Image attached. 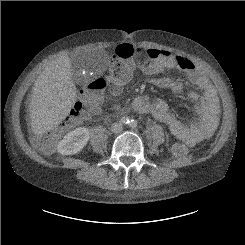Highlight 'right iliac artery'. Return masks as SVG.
I'll use <instances>...</instances> for the list:
<instances>
[{"mask_svg":"<svg viewBox=\"0 0 245 245\" xmlns=\"http://www.w3.org/2000/svg\"><path fill=\"white\" fill-rule=\"evenodd\" d=\"M121 122L123 124H129L130 123V119L128 117L124 116V117L121 118Z\"/></svg>","mask_w":245,"mask_h":245,"instance_id":"1","label":"right iliac artery"}]
</instances>
